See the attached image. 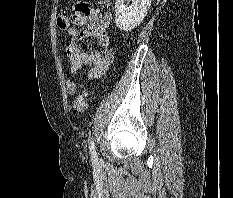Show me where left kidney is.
<instances>
[{
    "label": "left kidney",
    "mask_w": 233,
    "mask_h": 198,
    "mask_svg": "<svg viewBox=\"0 0 233 198\" xmlns=\"http://www.w3.org/2000/svg\"><path fill=\"white\" fill-rule=\"evenodd\" d=\"M128 1L129 3L125 4ZM152 0H116L115 23L120 30L130 31L145 18Z\"/></svg>",
    "instance_id": "1"
}]
</instances>
